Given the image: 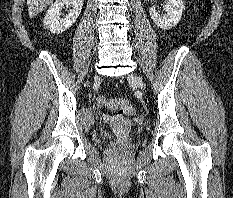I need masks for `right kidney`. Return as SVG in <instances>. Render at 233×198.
<instances>
[{"label": "right kidney", "instance_id": "ca27d5eb", "mask_svg": "<svg viewBox=\"0 0 233 198\" xmlns=\"http://www.w3.org/2000/svg\"><path fill=\"white\" fill-rule=\"evenodd\" d=\"M84 0H56L47 11L44 26L52 33H62L69 29L81 13ZM64 6L72 7L68 15L62 17Z\"/></svg>", "mask_w": 233, "mask_h": 198}]
</instances>
